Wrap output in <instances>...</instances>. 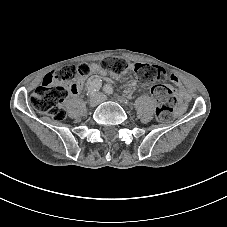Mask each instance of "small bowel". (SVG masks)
Listing matches in <instances>:
<instances>
[{
	"instance_id": "obj_1",
	"label": "small bowel",
	"mask_w": 227,
	"mask_h": 227,
	"mask_svg": "<svg viewBox=\"0 0 227 227\" xmlns=\"http://www.w3.org/2000/svg\"><path fill=\"white\" fill-rule=\"evenodd\" d=\"M91 73L93 74V75H95V76H103V75H105L106 74V70L102 67V66H100V65H98V64H93L92 66H91ZM171 79H172V81L179 87V89H180V94H181V99L183 100V101H188V95H187V93L184 91V89H183V87H182V84H181V82L179 81V79L176 77V76H174V75H172L171 76ZM93 81V80H92ZM91 81V82H92ZM90 82V83H91ZM83 86V82H80L79 83V86H78V89L76 90V92H74V94H76V93H78V91L81 89V87Z\"/></svg>"
}]
</instances>
